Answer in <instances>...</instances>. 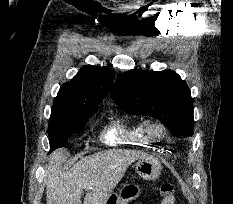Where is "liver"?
Masks as SVG:
<instances>
[{"instance_id":"obj_1","label":"liver","mask_w":233,"mask_h":204,"mask_svg":"<svg viewBox=\"0 0 233 204\" xmlns=\"http://www.w3.org/2000/svg\"><path fill=\"white\" fill-rule=\"evenodd\" d=\"M147 154L136 150L112 149L81 158L69 170L62 169L67 151H54L46 166L47 204H105L127 168Z\"/></svg>"}]
</instances>
